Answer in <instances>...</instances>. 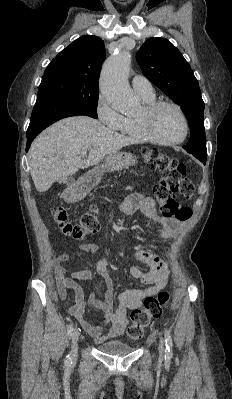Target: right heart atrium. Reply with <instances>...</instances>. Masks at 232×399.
Here are the masks:
<instances>
[{"mask_svg":"<svg viewBox=\"0 0 232 399\" xmlns=\"http://www.w3.org/2000/svg\"><path fill=\"white\" fill-rule=\"evenodd\" d=\"M109 104L122 103H105V96H102L99 104L96 106V116L98 120H102V125H110V129H116L124 116L114 111Z\"/></svg>","mask_w":232,"mask_h":399,"instance_id":"1","label":"right heart atrium"}]
</instances>
